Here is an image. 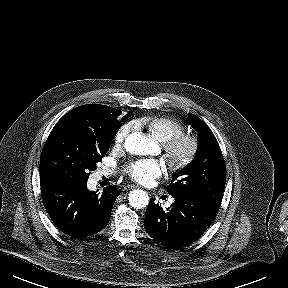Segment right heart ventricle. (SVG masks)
<instances>
[{
  "label": "right heart ventricle",
  "mask_w": 288,
  "mask_h": 288,
  "mask_svg": "<svg viewBox=\"0 0 288 288\" xmlns=\"http://www.w3.org/2000/svg\"><path fill=\"white\" fill-rule=\"evenodd\" d=\"M136 125L145 128L159 142L184 131L183 123L169 116H146L138 119Z\"/></svg>",
  "instance_id": "right-heart-ventricle-1"
}]
</instances>
